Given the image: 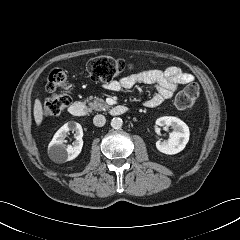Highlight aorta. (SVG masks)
Listing matches in <instances>:
<instances>
[{
	"instance_id": "1",
	"label": "aorta",
	"mask_w": 240,
	"mask_h": 240,
	"mask_svg": "<svg viewBox=\"0 0 240 240\" xmlns=\"http://www.w3.org/2000/svg\"><path fill=\"white\" fill-rule=\"evenodd\" d=\"M123 125V121L121 118L119 117H114L112 120H111V126L112 128L114 129H120Z\"/></svg>"
}]
</instances>
